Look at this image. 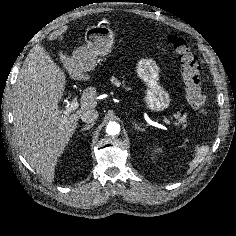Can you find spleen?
Returning <instances> with one entry per match:
<instances>
[{
	"mask_svg": "<svg viewBox=\"0 0 236 236\" xmlns=\"http://www.w3.org/2000/svg\"><path fill=\"white\" fill-rule=\"evenodd\" d=\"M209 152V146L203 145L196 148L195 157L190 163V169L187 171V174L191 173L207 156Z\"/></svg>",
	"mask_w": 236,
	"mask_h": 236,
	"instance_id": "spleen-1",
	"label": "spleen"
}]
</instances>
